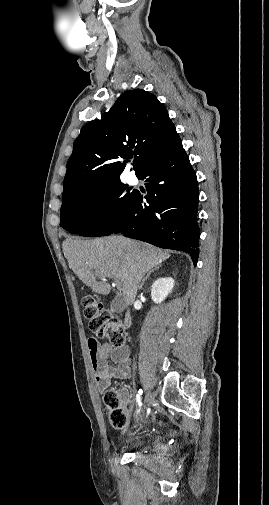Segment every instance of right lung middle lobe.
Returning <instances> with one entry per match:
<instances>
[{"instance_id": "1", "label": "right lung middle lobe", "mask_w": 269, "mask_h": 505, "mask_svg": "<svg viewBox=\"0 0 269 505\" xmlns=\"http://www.w3.org/2000/svg\"><path fill=\"white\" fill-rule=\"evenodd\" d=\"M120 180L87 189L62 202L60 226L85 237L110 235L135 195Z\"/></svg>"}]
</instances>
